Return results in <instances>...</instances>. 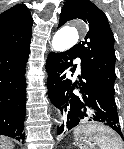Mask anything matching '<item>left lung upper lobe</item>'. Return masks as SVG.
<instances>
[{
    "instance_id": "1",
    "label": "left lung upper lobe",
    "mask_w": 124,
    "mask_h": 149,
    "mask_svg": "<svg viewBox=\"0 0 124 149\" xmlns=\"http://www.w3.org/2000/svg\"><path fill=\"white\" fill-rule=\"evenodd\" d=\"M79 18L88 25L83 41L71 50L82 60L87 74L114 91V36L105 14L89 0H67L60 14L59 26Z\"/></svg>"
}]
</instances>
